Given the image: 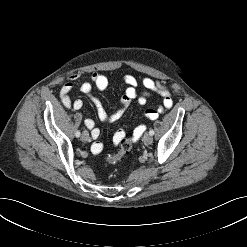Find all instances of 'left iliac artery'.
Segmentation results:
<instances>
[{"mask_svg": "<svg viewBox=\"0 0 247 247\" xmlns=\"http://www.w3.org/2000/svg\"><path fill=\"white\" fill-rule=\"evenodd\" d=\"M149 134H150V135H154V131H153V130H150V131H149Z\"/></svg>", "mask_w": 247, "mask_h": 247, "instance_id": "left-iliac-artery-1", "label": "left iliac artery"}]
</instances>
